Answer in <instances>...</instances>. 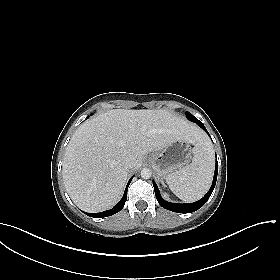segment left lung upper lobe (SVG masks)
Here are the masks:
<instances>
[{
    "label": "left lung upper lobe",
    "instance_id": "obj_1",
    "mask_svg": "<svg viewBox=\"0 0 280 280\" xmlns=\"http://www.w3.org/2000/svg\"><path fill=\"white\" fill-rule=\"evenodd\" d=\"M186 117L191 121V119H195L198 120L197 118H195L190 112H186ZM193 122V121H192Z\"/></svg>",
    "mask_w": 280,
    "mask_h": 280
}]
</instances>
